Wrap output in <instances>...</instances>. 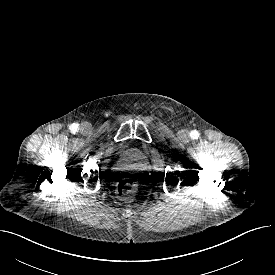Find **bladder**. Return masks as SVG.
I'll use <instances>...</instances> for the list:
<instances>
[{"label":"bladder","instance_id":"31cf9c89","mask_svg":"<svg viewBox=\"0 0 275 275\" xmlns=\"http://www.w3.org/2000/svg\"><path fill=\"white\" fill-rule=\"evenodd\" d=\"M116 168L119 174L124 178H139L144 174L147 168L146 156L142 151L136 148L124 149L117 156Z\"/></svg>","mask_w":275,"mask_h":275}]
</instances>
